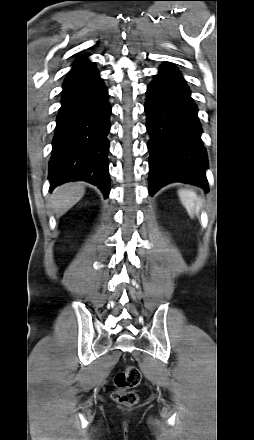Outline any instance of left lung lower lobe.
<instances>
[{
  "label": "left lung lower lobe",
  "instance_id": "1",
  "mask_svg": "<svg viewBox=\"0 0 254 440\" xmlns=\"http://www.w3.org/2000/svg\"><path fill=\"white\" fill-rule=\"evenodd\" d=\"M145 111L150 134V195L171 182L192 183L207 191L208 161L197 106L172 64L162 65L148 86Z\"/></svg>",
  "mask_w": 254,
  "mask_h": 440
}]
</instances>
